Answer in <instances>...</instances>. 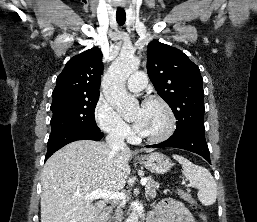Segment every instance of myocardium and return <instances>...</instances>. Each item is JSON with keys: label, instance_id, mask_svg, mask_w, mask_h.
<instances>
[{"label": "myocardium", "instance_id": "f54148a6", "mask_svg": "<svg viewBox=\"0 0 257 222\" xmlns=\"http://www.w3.org/2000/svg\"><path fill=\"white\" fill-rule=\"evenodd\" d=\"M154 103L161 105L162 108L165 110L167 114V126L164 129V131H162L157 135H153V136L139 135V138L149 143H161L166 141L173 135L176 129V117L169 103L161 97L151 96L143 102V105L154 104Z\"/></svg>", "mask_w": 257, "mask_h": 222}]
</instances>
